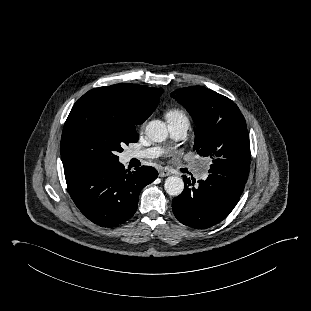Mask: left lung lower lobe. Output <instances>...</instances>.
Returning a JSON list of instances; mask_svg holds the SVG:
<instances>
[{"label": "left lung lower lobe", "instance_id": "1", "mask_svg": "<svg viewBox=\"0 0 311 311\" xmlns=\"http://www.w3.org/2000/svg\"><path fill=\"white\" fill-rule=\"evenodd\" d=\"M185 188L173 199L175 217L183 224L196 229H205L225 219L244 190L245 183L223 175L210 173L206 180L195 181L183 178Z\"/></svg>", "mask_w": 311, "mask_h": 311}]
</instances>
